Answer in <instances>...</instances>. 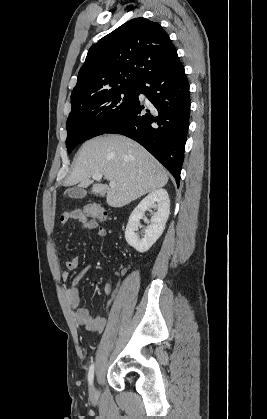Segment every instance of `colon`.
<instances>
[{
	"mask_svg": "<svg viewBox=\"0 0 267 419\" xmlns=\"http://www.w3.org/2000/svg\"><path fill=\"white\" fill-rule=\"evenodd\" d=\"M81 212L86 218L96 221L104 222L110 219L108 211L97 204H88Z\"/></svg>",
	"mask_w": 267,
	"mask_h": 419,
	"instance_id": "1",
	"label": "colon"
}]
</instances>
